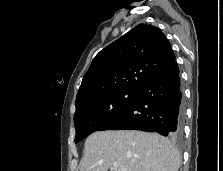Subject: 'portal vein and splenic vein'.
<instances>
[{
    "label": "portal vein and splenic vein",
    "mask_w": 223,
    "mask_h": 171,
    "mask_svg": "<svg viewBox=\"0 0 223 171\" xmlns=\"http://www.w3.org/2000/svg\"><path fill=\"white\" fill-rule=\"evenodd\" d=\"M113 168L115 169V171H127L124 167L119 166L117 163L113 164Z\"/></svg>",
    "instance_id": "1"
}]
</instances>
